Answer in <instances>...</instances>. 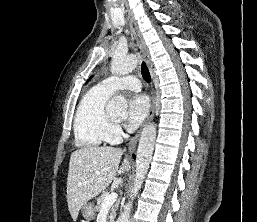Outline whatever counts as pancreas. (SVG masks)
Masks as SVG:
<instances>
[{"mask_svg": "<svg viewBox=\"0 0 257 222\" xmlns=\"http://www.w3.org/2000/svg\"><path fill=\"white\" fill-rule=\"evenodd\" d=\"M108 195H110V193L108 191H103L102 194L97 198V206L95 207L97 212L101 211L104 199ZM117 208H118V204L111 206V209H110L111 212H110V215L108 216L109 222H114V219L116 217Z\"/></svg>", "mask_w": 257, "mask_h": 222, "instance_id": "pancreas-1", "label": "pancreas"}]
</instances>
